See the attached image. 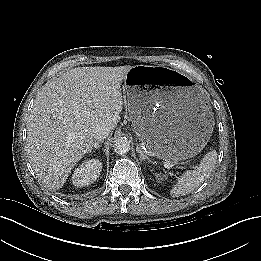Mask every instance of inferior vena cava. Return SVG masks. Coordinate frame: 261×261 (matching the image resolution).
<instances>
[{"label":"inferior vena cava","instance_id":"obj_1","mask_svg":"<svg viewBox=\"0 0 261 261\" xmlns=\"http://www.w3.org/2000/svg\"><path fill=\"white\" fill-rule=\"evenodd\" d=\"M93 137L97 140L105 139L108 137L110 129L104 125L96 126L92 129Z\"/></svg>","mask_w":261,"mask_h":261}]
</instances>
